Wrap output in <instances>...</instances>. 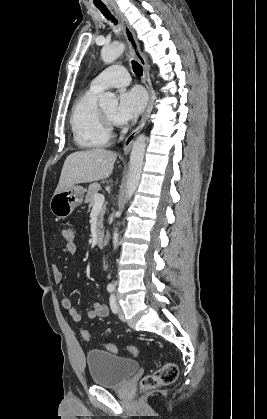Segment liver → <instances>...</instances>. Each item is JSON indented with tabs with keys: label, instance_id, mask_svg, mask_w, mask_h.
<instances>
[{
	"label": "liver",
	"instance_id": "6515ba94",
	"mask_svg": "<svg viewBox=\"0 0 267 419\" xmlns=\"http://www.w3.org/2000/svg\"><path fill=\"white\" fill-rule=\"evenodd\" d=\"M117 154L104 148L77 151L67 156L55 193L75 184L108 178L113 171Z\"/></svg>",
	"mask_w": 267,
	"mask_h": 419
}]
</instances>
